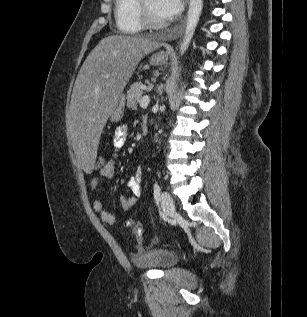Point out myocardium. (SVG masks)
Wrapping results in <instances>:
<instances>
[{"mask_svg":"<svg viewBox=\"0 0 307 317\" xmlns=\"http://www.w3.org/2000/svg\"><path fill=\"white\" fill-rule=\"evenodd\" d=\"M138 1H139L140 15H141L143 24L145 26L151 29H160L167 25V22L165 20L159 21L153 17V15L151 14L146 4V0H138Z\"/></svg>","mask_w":307,"mask_h":317,"instance_id":"myocardium-1","label":"myocardium"}]
</instances>
